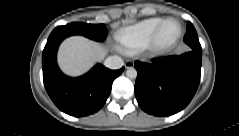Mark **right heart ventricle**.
Instances as JSON below:
<instances>
[{
	"label": "right heart ventricle",
	"instance_id": "e07e8e85",
	"mask_svg": "<svg viewBox=\"0 0 239 136\" xmlns=\"http://www.w3.org/2000/svg\"><path fill=\"white\" fill-rule=\"evenodd\" d=\"M164 20L153 19L140 23L117 36V41L122 49L141 45L149 40L153 32Z\"/></svg>",
	"mask_w": 239,
	"mask_h": 136
}]
</instances>
